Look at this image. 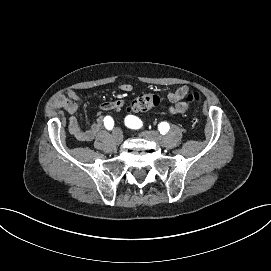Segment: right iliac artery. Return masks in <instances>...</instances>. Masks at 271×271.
<instances>
[{
	"mask_svg": "<svg viewBox=\"0 0 271 271\" xmlns=\"http://www.w3.org/2000/svg\"><path fill=\"white\" fill-rule=\"evenodd\" d=\"M103 121H104V126L107 130L113 129L114 121L111 116H106Z\"/></svg>",
	"mask_w": 271,
	"mask_h": 271,
	"instance_id": "right-iliac-artery-1",
	"label": "right iliac artery"
}]
</instances>
